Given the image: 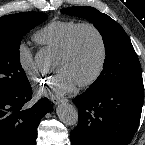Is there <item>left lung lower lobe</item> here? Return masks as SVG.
<instances>
[{
  "label": "left lung lower lobe",
  "instance_id": "obj_1",
  "mask_svg": "<svg viewBox=\"0 0 145 145\" xmlns=\"http://www.w3.org/2000/svg\"><path fill=\"white\" fill-rule=\"evenodd\" d=\"M143 96V82L77 96L73 102L79 117L70 134L72 145H128L138 128Z\"/></svg>",
  "mask_w": 145,
  "mask_h": 145
}]
</instances>
